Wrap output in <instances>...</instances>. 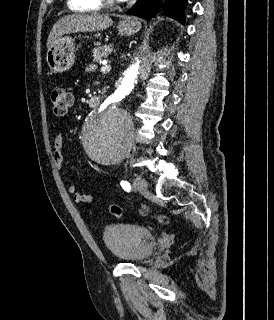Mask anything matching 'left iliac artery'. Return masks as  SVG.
Listing matches in <instances>:
<instances>
[{
    "instance_id": "1",
    "label": "left iliac artery",
    "mask_w": 274,
    "mask_h": 320,
    "mask_svg": "<svg viewBox=\"0 0 274 320\" xmlns=\"http://www.w3.org/2000/svg\"><path fill=\"white\" fill-rule=\"evenodd\" d=\"M121 186L125 191H130L131 190L130 183L127 182V181H121Z\"/></svg>"
}]
</instances>
